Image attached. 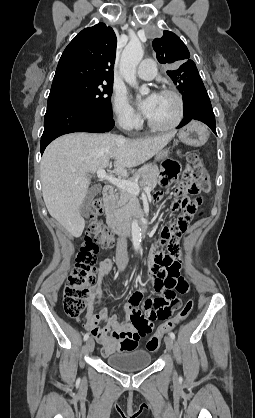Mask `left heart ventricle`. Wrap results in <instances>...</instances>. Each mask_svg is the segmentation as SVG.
Instances as JSON below:
<instances>
[{"label":"left heart ventricle","instance_id":"1","mask_svg":"<svg viewBox=\"0 0 255 418\" xmlns=\"http://www.w3.org/2000/svg\"><path fill=\"white\" fill-rule=\"evenodd\" d=\"M177 110V102L172 96L159 94L148 119L157 125H167L174 120Z\"/></svg>","mask_w":255,"mask_h":418}]
</instances>
